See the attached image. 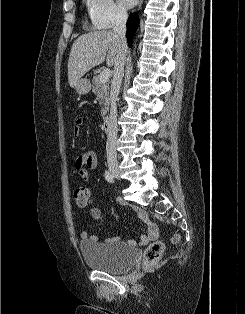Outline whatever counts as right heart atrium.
Listing matches in <instances>:
<instances>
[{
  "mask_svg": "<svg viewBox=\"0 0 245 314\" xmlns=\"http://www.w3.org/2000/svg\"><path fill=\"white\" fill-rule=\"evenodd\" d=\"M87 6L95 29H110L126 19L125 9L114 0H87Z\"/></svg>",
  "mask_w": 245,
  "mask_h": 314,
  "instance_id": "right-heart-atrium-1",
  "label": "right heart atrium"
}]
</instances>
